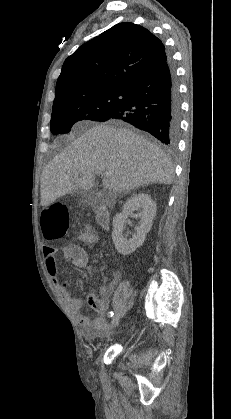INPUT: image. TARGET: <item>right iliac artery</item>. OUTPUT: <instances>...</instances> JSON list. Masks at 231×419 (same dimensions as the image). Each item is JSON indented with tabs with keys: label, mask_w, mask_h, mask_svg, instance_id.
<instances>
[{
	"label": "right iliac artery",
	"mask_w": 231,
	"mask_h": 419,
	"mask_svg": "<svg viewBox=\"0 0 231 419\" xmlns=\"http://www.w3.org/2000/svg\"><path fill=\"white\" fill-rule=\"evenodd\" d=\"M107 315H108V317H112L114 315V313L112 311H110Z\"/></svg>",
	"instance_id": "right-iliac-artery-1"
}]
</instances>
